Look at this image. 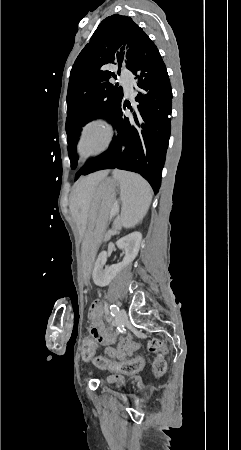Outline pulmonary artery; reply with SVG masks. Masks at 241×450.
Here are the masks:
<instances>
[{"instance_id":"obj_1","label":"pulmonary artery","mask_w":241,"mask_h":450,"mask_svg":"<svg viewBox=\"0 0 241 450\" xmlns=\"http://www.w3.org/2000/svg\"><path fill=\"white\" fill-rule=\"evenodd\" d=\"M133 78H134V73L132 71H123L121 73V76L119 77V82L121 84H123V87L125 89L124 92L128 96L131 95L133 92L131 89L133 86V83H132Z\"/></svg>"}]
</instances>
